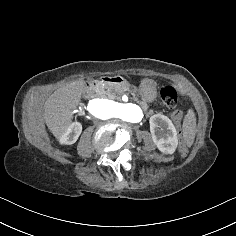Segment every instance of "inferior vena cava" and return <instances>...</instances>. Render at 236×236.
<instances>
[{
    "label": "inferior vena cava",
    "mask_w": 236,
    "mask_h": 236,
    "mask_svg": "<svg viewBox=\"0 0 236 236\" xmlns=\"http://www.w3.org/2000/svg\"><path fill=\"white\" fill-rule=\"evenodd\" d=\"M92 121L94 122L95 126H98L100 124V121L97 120V117L95 118L94 116H92Z\"/></svg>",
    "instance_id": "602c4592"
}]
</instances>
